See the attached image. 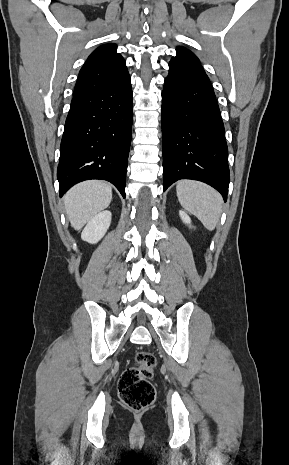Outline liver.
Returning <instances> with one entry per match:
<instances>
[{"label":"liver","mask_w":289,"mask_h":465,"mask_svg":"<svg viewBox=\"0 0 289 465\" xmlns=\"http://www.w3.org/2000/svg\"><path fill=\"white\" fill-rule=\"evenodd\" d=\"M112 187L103 181H85L64 196L66 215L75 230H80L100 211L109 206Z\"/></svg>","instance_id":"1"}]
</instances>
